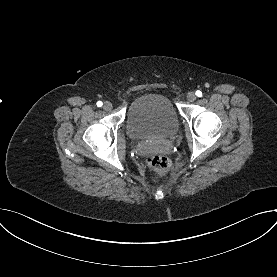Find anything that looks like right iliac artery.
<instances>
[{"label":"right iliac artery","mask_w":277,"mask_h":277,"mask_svg":"<svg viewBox=\"0 0 277 277\" xmlns=\"http://www.w3.org/2000/svg\"><path fill=\"white\" fill-rule=\"evenodd\" d=\"M102 105H103V103H102L101 101H98V102H97V106H98V107H101Z\"/></svg>","instance_id":"1"}]
</instances>
